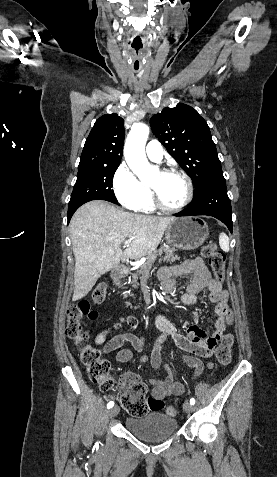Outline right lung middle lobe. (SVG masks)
<instances>
[{"instance_id": "1", "label": "right lung middle lobe", "mask_w": 277, "mask_h": 477, "mask_svg": "<svg viewBox=\"0 0 277 477\" xmlns=\"http://www.w3.org/2000/svg\"><path fill=\"white\" fill-rule=\"evenodd\" d=\"M119 165L91 167L78 170L68 206V222L73 213L84 203L91 200H106L117 203L112 188V180Z\"/></svg>"}]
</instances>
